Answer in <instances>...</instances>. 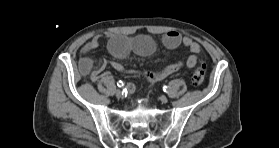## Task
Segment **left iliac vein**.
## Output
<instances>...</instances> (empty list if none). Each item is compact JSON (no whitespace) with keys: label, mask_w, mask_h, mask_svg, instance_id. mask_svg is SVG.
<instances>
[{"label":"left iliac vein","mask_w":279,"mask_h":148,"mask_svg":"<svg viewBox=\"0 0 279 148\" xmlns=\"http://www.w3.org/2000/svg\"><path fill=\"white\" fill-rule=\"evenodd\" d=\"M160 100L162 103H167L168 102V98L166 96H160Z\"/></svg>","instance_id":"1"}]
</instances>
